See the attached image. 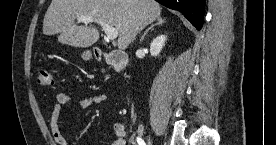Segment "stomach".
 Here are the masks:
<instances>
[{
	"label": "stomach",
	"instance_id": "1",
	"mask_svg": "<svg viewBox=\"0 0 276 145\" xmlns=\"http://www.w3.org/2000/svg\"><path fill=\"white\" fill-rule=\"evenodd\" d=\"M91 52L90 51H86L83 53L82 57L86 60L90 59L91 58Z\"/></svg>",
	"mask_w": 276,
	"mask_h": 145
}]
</instances>
